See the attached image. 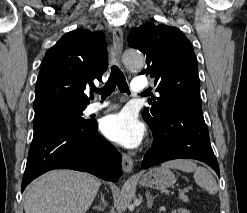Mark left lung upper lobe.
Listing matches in <instances>:
<instances>
[{
	"instance_id": "1",
	"label": "left lung upper lobe",
	"mask_w": 247,
	"mask_h": 213,
	"mask_svg": "<svg viewBox=\"0 0 247 213\" xmlns=\"http://www.w3.org/2000/svg\"><path fill=\"white\" fill-rule=\"evenodd\" d=\"M128 42L146 55V74L154 79L159 93V97L149 100L151 106L143 112L150 128L160 123L175 102L188 110L202 112L196 56L192 44L178 28L142 24L132 29Z\"/></svg>"
}]
</instances>
